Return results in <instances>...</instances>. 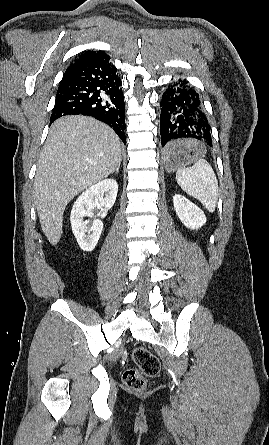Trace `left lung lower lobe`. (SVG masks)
<instances>
[{
	"label": "left lung lower lobe",
	"mask_w": 269,
	"mask_h": 445,
	"mask_svg": "<svg viewBox=\"0 0 269 445\" xmlns=\"http://www.w3.org/2000/svg\"><path fill=\"white\" fill-rule=\"evenodd\" d=\"M160 134L164 153H175L184 140L212 145L203 102L186 80L168 85L160 100Z\"/></svg>",
	"instance_id": "1"
}]
</instances>
